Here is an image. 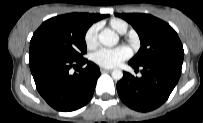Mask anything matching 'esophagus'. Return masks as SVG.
<instances>
[{"instance_id":"esophagus-1","label":"esophagus","mask_w":203,"mask_h":123,"mask_svg":"<svg viewBox=\"0 0 203 123\" xmlns=\"http://www.w3.org/2000/svg\"><path fill=\"white\" fill-rule=\"evenodd\" d=\"M102 73H105V72H111L112 69H107V68H101L100 69Z\"/></svg>"}]
</instances>
